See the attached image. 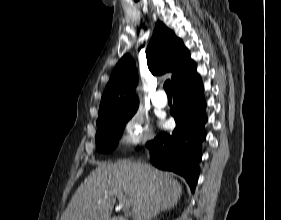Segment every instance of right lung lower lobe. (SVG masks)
I'll return each mask as SVG.
<instances>
[{
    "label": "right lung lower lobe",
    "instance_id": "obj_1",
    "mask_svg": "<svg viewBox=\"0 0 281 220\" xmlns=\"http://www.w3.org/2000/svg\"><path fill=\"white\" fill-rule=\"evenodd\" d=\"M173 96L170 113L175 117L176 129L171 135L160 133L147 147L154 166L183 176L194 192L207 121L201 79L176 87Z\"/></svg>",
    "mask_w": 281,
    "mask_h": 220
}]
</instances>
